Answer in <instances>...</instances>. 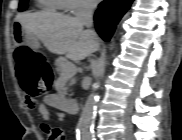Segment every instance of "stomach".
Wrapping results in <instances>:
<instances>
[{"instance_id":"obj_1","label":"stomach","mask_w":182,"mask_h":140,"mask_svg":"<svg viewBox=\"0 0 182 140\" xmlns=\"http://www.w3.org/2000/svg\"><path fill=\"white\" fill-rule=\"evenodd\" d=\"M11 27L15 30V44H26L31 48L39 46V40L34 36V31H23L27 29V26L22 25V22H11Z\"/></svg>"}]
</instances>
